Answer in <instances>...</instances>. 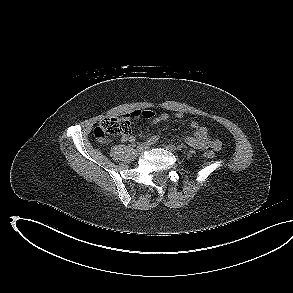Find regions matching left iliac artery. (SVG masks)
<instances>
[{"label":"left iliac artery","mask_w":293,"mask_h":293,"mask_svg":"<svg viewBox=\"0 0 293 293\" xmlns=\"http://www.w3.org/2000/svg\"><path fill=\"white\" fill-rule=\"evenodd\" d=\"M183 148H184V146H183L182 144L177 146V149H178L179 151L183 150Z\"/></svg>","instance_id":"1"}]
</instances>
